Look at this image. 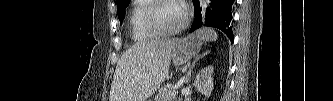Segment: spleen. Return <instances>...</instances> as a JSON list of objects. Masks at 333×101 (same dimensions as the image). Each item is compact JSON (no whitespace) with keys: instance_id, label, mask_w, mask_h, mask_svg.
<instances>
[{"instance_id":"3e777b00","label":"spleen","mask_w":333,"mask_h":101,"mask_svg":"<svg viewBox=\"0 0 333 101\" xmlns=\"http://www.w3.org/2000/svg\"><path fill=\"white\" fill-rule=\"evenodd\" d=\"M197 35H199L201 37L202 40H206V41H216L218 38V34L216 33V31H214L213 29H203L197 32Z\"/></svg>"}]
</instances>
